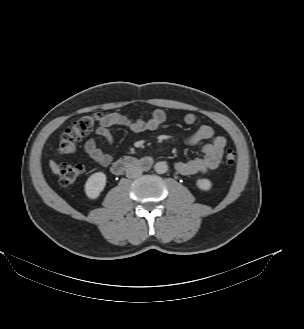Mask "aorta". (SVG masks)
Wrapping results in <instances>:
<instances>
[{
    "label": "aorta",
    "mask_w": 304,
    "mask_h": 329,
    "mask_svg": "<svg viewBox=\"0 0 304 329\" xmlns=\"http://www.w3.org/2000/svg\"><path fill=\"white\" fill-rule=\"evenodd\" d=\"M154 169L158 174H164L168 170V165L164 161H159L154 165Z\"/></svg>",
    "instance_id": "obj_1"
}]
</instances>
